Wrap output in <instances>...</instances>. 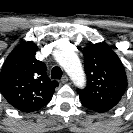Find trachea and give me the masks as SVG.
<instances>
[{
	"instance_id": "obj_1",
	"label": "trachea",
	"mask_w": 133,
	"mask_h": 133,
	"mask_svg": "<svg viewBox=\"0 0 133 133\" xmlns=\"http://www.w3.org/2000/svg\"><path fill=\"white\" fill-rule=\"evenodd\" d=\"M62 70L60 67L56 66L51 70V78L52 79H61Z\"/></svg>"
}]
</instances>
